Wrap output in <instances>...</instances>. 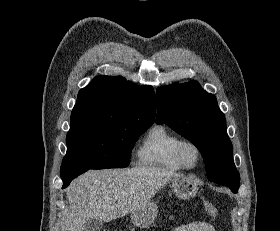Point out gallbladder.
<instances>
[{
    "label": "gallbladder",
    "instance_id": "gallbladder-1",
    "mask_svg": "<svg viewBox=\"0 0 280 231\" xmlns=\"http://www.w3.org/2000/svg\"><path fill=\"white\" fill-rule=\"evenodd\" d=\"M101 227H103V221H100V219H90L83 231H100Z\"/></svg>",
    "mask_w": 280,
    "mask_h": 231
}]
</instances>
